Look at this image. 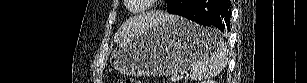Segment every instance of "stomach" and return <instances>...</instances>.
<instances>
[{
    "label": "stomach",
    "instance_id": "1",
    "mask_svg": "<svg viewBox=\"0 0 307 83\" xmlns=\"http://www.w3.org/2000/svg\"><path fill=\"white\" fill-rule=\"evenodd\" d=\"M207 28L172 16L119 44L110 57L118 72L134 76H170L189 69L213 50Z\"/></svg>",
    "mask_w": 307,
    "mask_h": 83
}]
</instances>
